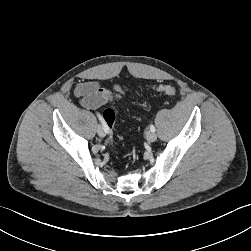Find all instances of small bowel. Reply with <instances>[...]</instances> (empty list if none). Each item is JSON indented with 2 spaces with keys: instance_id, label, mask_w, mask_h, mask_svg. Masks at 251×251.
Instances as JSON below:
<instances>
[{
  "instance_id": "1",
  "label": "small bowel",
  "mask_w": 251,
  "mask_h": 251,
  "mask_svg": "<svg viewBox=\"0 0 251 251\" xmlns=\"http://www.w3.org/2000/svg\"><path fill=\"white\" fill-rule=\"evenodd\" d=\"M122 88L115 85L113 90L103 88L96 81H87L78 84L75 88V95L80 104L89 110H95L101 106L112 102L114 93H121Z\"/></svg>"
}]
</instances>
